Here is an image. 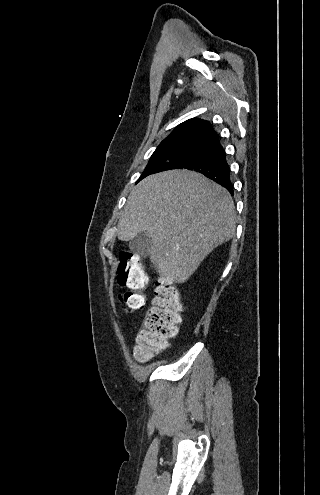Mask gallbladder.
Returning <instances> with one entry per match:
<instances>
[{
    "mask_svg": "<svg viewBox=\"0 0 320 495\" xmlns=\"http://www.w3.org/2000/svg\"><path fill=\"white\" fill-rule=\"evenodd\" d=\"M152 245V238L147 231L139 232L129 243L132 252L147 256Z\"/></svg>",
    "mask_w": 320,
    "mask_h": 495,
    "instance_id": "gallbladder-1",
    "label": "gallbladder"
}]
</instances>
